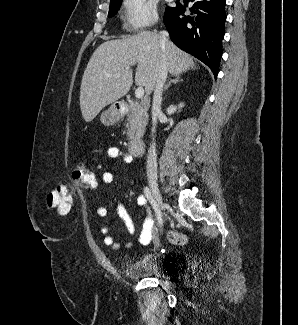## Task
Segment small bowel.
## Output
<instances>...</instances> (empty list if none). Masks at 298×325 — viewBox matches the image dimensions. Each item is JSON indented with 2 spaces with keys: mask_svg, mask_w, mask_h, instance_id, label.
<instances>
[{
  "mask_svg": "<svg viewBox=\"0 0 298 325\" xmlns=\"http://www.w3.org/2000/svg\"><path fill=\"white\" fill-rule=\"evenodd\" d=\"M107 155L111 159H121L124 163L130 164L133 161V156L130 153L124 152L122 149L118 147H110L107 150ZM114 176L111 172L105 171L101 175V180L105 184H110L113 182ZM130 184H133V181H130ZM137 203L139 206H146V198L143 195H140L137 198ZM116 211L118 216L124 222L125 227L130 234H134L135 232V224L126 211L125 207L122 204H118L116 207ZM108 214V210L105 206H99L97 208V215L99 217H106ZM154 232V222L153 219L147 217L142 226V231L139 236V243L141 245H148L153 237ZM100 233L104 236V244L111 247L112 249H118L119 244L114 240V238L110 235V226L107 223H103L100 226ZM127 247L131 246V244H127Z\"/></svg>",
  "mask_w": 298,
  "mask_h": 325,
  "instance_id": "small-bowel-1",
  "label": "small bowel"
}]
</instances>
